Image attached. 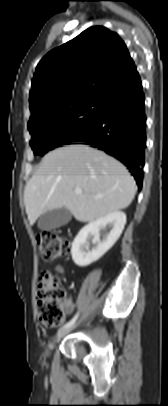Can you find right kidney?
I'll return each instance as SVG.
<instances>
[{"instance_id":"ca27d5eb","label":"right kidney","mask_w":168,"mask_h":406,"mask_svg":"<svg viewBox=\"0 0 168 406\" xmlns=\"http://www.w3.org/2000/svg\"><path fill=\"white\" fill-rule=\"evenodd\" d=\"M126 224L124 212L116 211L84 226L74 239L71 247V255L74 263L85 267L100 259L118 240ZM106 226L110 232L100 240V230ZM89 235L93 236V246L89 249L87 241Z\"/></svg>"}]
</instances>
